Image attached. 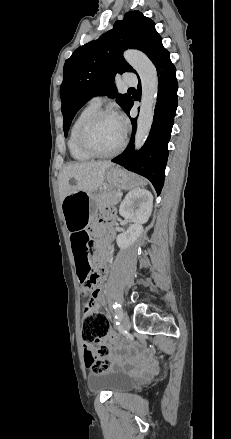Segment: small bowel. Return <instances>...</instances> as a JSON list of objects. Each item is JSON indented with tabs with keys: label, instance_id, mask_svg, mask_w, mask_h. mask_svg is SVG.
Instances as JSON below:
<instances>
[{
	"label": "small bowel",
	"instance_id": "c3829d8e",
	"mask_svg": "<svg viewBox=\"0 0 231 439\" xmlns=\"http://www.w3.org/2000/svg\"><path fill=\"white\" fill-rule=\"evenodd\" d=\"M110 236H113V231L109 229ZM110 240V238H105V241ZM71 249L74 257L77 273L80 266H84L89 263L94 268V273L97 276V281H101L104 278L105 271L103 273L98 272V265L103 260L106 263L110 258V249L103 247L99 252L94 253L92 259H90V241L88 238V233L79 229L71 232L70 235ZM107 244V243H106ZM103 291L99 285H95L92 290V299L89 302V308L91 312H100L103 306ZM104 343L107 345L108 350H112L116 346V340L113 336H108L104 339ZM92 346H85L84 354L86 352H92ZM152 369L149 363H144L141 368V373H146Z\"/></svg>",
	"mask_w": 231,
	"mask_h": 439
}]
</instances>
